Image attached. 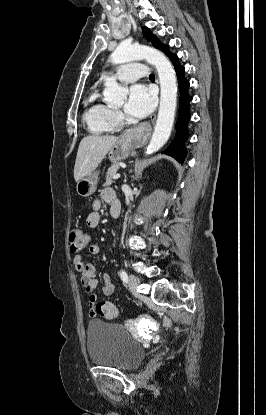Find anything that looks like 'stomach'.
I'll use <instances>...</instances> for the list:
<instances>
[{"instance_id": "0dacf381", "label": "stomach", "mask_w": 266, "mask_h": 415, "mask_svg": "<svg viewBox=\"0 0 266 415\" xmlns=\"http://www.w3.org/2000/svg\"><path fill=\"white\" fill-rule=\"evenodd\" d=\"M134 145V139H119L113 147L109 150V159L114 162H118L124 160L128 157L131 148ZM99 172L93 171L90 172L88 175L83 177L81 180L77 182L76 191L77 194L81 197H89L92 195L98 185L99 180Z\"/></svg>"}]
</instances>
